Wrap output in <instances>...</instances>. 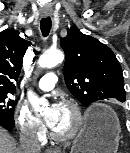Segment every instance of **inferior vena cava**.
<instances>
[{
    "label": "inferior vena cava",
    "mask_w": 130,
    "mask_h": 153,
    "mask_svg": "<svg viewBox=\"0 0 130 153\" xmlns=\"http://www.w3.org/2000/svg\"><path fill=\"white\" fill-rule=\"evenodd\" d=\"M22 153H40L41 146L34 131L25 129L21 135Z\"/></svg>",
    "instance_id": "602c4592"
}]
</instances>
